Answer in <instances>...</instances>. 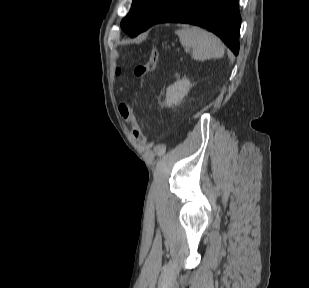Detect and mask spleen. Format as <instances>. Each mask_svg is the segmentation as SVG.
I'll use <instances>...</instances> for the list:
<instances>
[{
	"label": "spleen",
	"instance_id": "spleen-1",
	"mask_svg": "<svg viewBox=\"0 0 309 288\" xmlns=\"http://www.w3.org/2000/svg\"><path fill=\"white\" fill-rule=\"evenodd\" d=\"M176 34L183 46L192 48L195 60L219 59L224 55L222 42L212 33L199 27H186L176 31Z\"/></svg>",
	"mask_w": 309,
	"mask_h": 288
}]
</instances>
